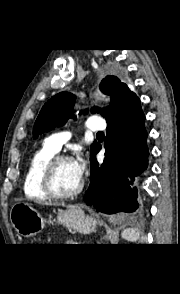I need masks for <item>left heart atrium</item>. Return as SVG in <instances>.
Masks as SVG:
<instances>
[{
	"label": "left heart atrium",
	"instance_id": "1",
	"mask_svg": "<svg viewBox=\"0 0 180 294\" xmlns=\"http://www.w3.org/2000/svg\"><path fill=\"white\" fill-rule=\"evenodd\" d=\"M71 164L76 176L81 180L86 171V164L81 154L77 155L76 158L71 160Z\"/></svg>",
	"mask_w": 180,
	"mask_h": 294
}]
</instances>
